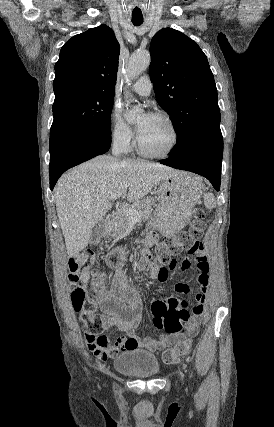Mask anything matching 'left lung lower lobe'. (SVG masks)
<instances>
[{"instance_id": "obj_1", "label": "left lung lower lobe", "mask_w": 274, "mask_h": 427, "mask_svg": "<svg viewBox=\"0 0 274 427\" xmlns=\"http://www.w3.org/2000/svg\"><path fill=\"white\" fill-rule=\"evenodd\" d=\"M223 156L221 132L200 135L187 147L171 151L167 159L160 163L177 169L187 170L206 177L219 191Z\"/></svg>"}]
</instances>
